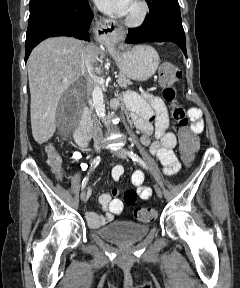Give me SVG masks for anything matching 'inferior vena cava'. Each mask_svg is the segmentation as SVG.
<instances>
[{
  "label": "inferior vena cava",
  "mask_w": 240,
  "mask_h": 288,
  "mask_svg": "<svg viewBox=\"0 0 240 288\" xmlns=\"http://www.w3.org/2000/svg\"><path fill=\"white\" fill-rule=\"evenodd\" d=\"M92 47H93L92 43L87 44L81 57V76L84 77L87 83L90 80V74L92 72V61L89 53ZM88 104L90 105L89 114L82 119L81 123L88 125L90 127L93 139L97 141L102 139V131L99 124L93 122L92 119V117H94L93 108L91 106V101L89 100V98H88Z\"/></svg>",
  "instance_id": "602c4592"
}]
</instances>
